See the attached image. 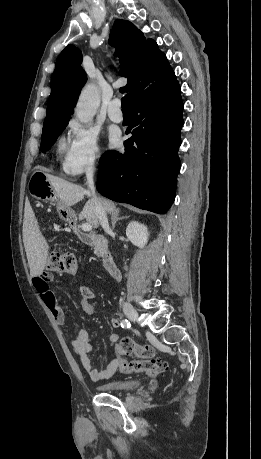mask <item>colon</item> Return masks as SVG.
Returning a JSON list of instances; mask_svg holds the SVG:
<instances>
[{
	"label": "colon",
	"mask_w": 261,
	"mask_h": 459,
	"mask_svg": "<svg viewBox=\"0 0 261 459\" xmlns=\"http://www.w3.org/2000/svg\"><path fill=\"white\" fill-rule=\"evenodd\" d=\"M49 270L57 273L76 274L78 264L75 256L71 253L54 254L49 260ZM116 353L123 355H135L138 359L126 361L121 357L119 370L122 373L144 372L149 376H157L166 370V363L155 359V350L150 345H141L129 337L122 338L116 345Z\"/></svg>",
	"instance_id": "colon-1"
}]
</instances>
